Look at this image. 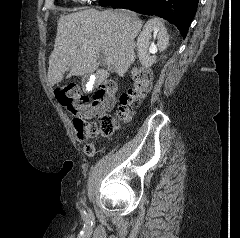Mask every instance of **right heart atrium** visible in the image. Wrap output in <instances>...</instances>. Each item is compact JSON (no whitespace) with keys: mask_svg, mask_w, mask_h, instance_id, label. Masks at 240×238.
I'll return each instance as SVG.
<instances>
[{"mask_svg":"<svg viewBox=\"0 0 240 238\" xmlns=\"http://www.w3.org/2000/svg\"><path fill=\"white\" fill-rule=\"evenodd\" d=\"M77 2H81V3H86V2H90L91 0H75Z\"/></svg>","mask_w":240,"mask_h":238,"instance_id":"d8ad5b80","label":"right heart atrium"}]
</instances>
